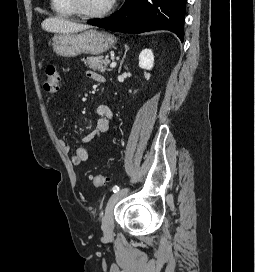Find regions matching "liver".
<instances>
[{
  "instance_id": "6515ba94",
  "label": "liver",
  "mask_w": 255,
  "mask_h": 272,
  "mask_svg": "<svg viewBox=\"0 0 255 272\" xmlns=\"http://www.w3.org/2000/svg\"><path fill=\"white\" fill-rule=\"evenodd\" d=\"M41 26L45 31L54 33H76L90 27L89 25L74 23L61 17L46 18Z\"/></svg>"
}]
</instances>
